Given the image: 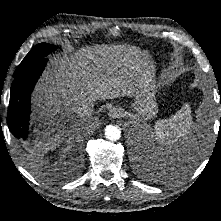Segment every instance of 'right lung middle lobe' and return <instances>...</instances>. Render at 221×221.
I'll return each mask as SVG.
<instances>
[{
    "mask_svg": "<svg viewBox=\"0 0 221 221\" xmlns=\"http://www.w3.org/2000/svg\"><path fill=\"white\" fill-rule=\"evenodd\" d=\"M57 48L54 45L47 43L37 44L32 50L26 55L21 64L17 67L14 75L18 74L21 70L28 67L35 61L40 60L41 58L46 57L49 53L55 51Z\"/></svg>",
    "mask_w": 221,
    "mask_h": 221,
    "instance_id": "1",
    "label": "right lung middle lobe"
}]
</instances>
